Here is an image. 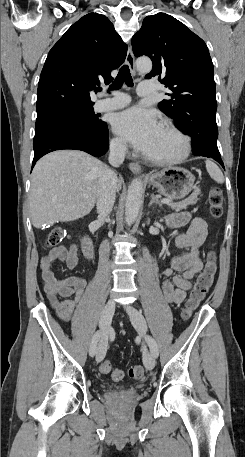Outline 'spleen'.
Masks as SVG:
<instances>
[{
	"instance_id": "obj_1",
	"label": "spleen",
	"mask_w": 245,
	"mask_h": 457,
	"mask_svg": "<svg viewBox=\"0 0 245 457\" xmlns=\"http://www.w3.org/2000/svg\"><path fill=\"white\" fill-rule=\"evenodd\" d=\"M207 172H209L211 178H214L216 182H224V176L223 172H221L219 166L215 164V162H212L211 158H207L205 160Z\"/></svg>"
}]
</instances>
